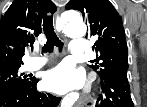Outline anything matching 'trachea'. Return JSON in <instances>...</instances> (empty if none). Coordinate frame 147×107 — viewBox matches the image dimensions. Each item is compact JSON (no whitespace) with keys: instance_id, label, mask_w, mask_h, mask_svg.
<instances>
[{"instance_id":"obj_1","label":"trachea","mask_w":147,"mask_h":107,"mask_svg":"<svg viewBox=\"0 0 147 107\" xmlns=\"http://www.w3.org/2000/svg\"><path fill=\"white\" fill-rule=\"evenodd\" d=\"M43 30L47 38V42L43 47V52L45 53L52 51L54 46L58 47L61 50L63 48V43L61 40H59L54 31L53 18L46 17L43 19Z\"/></svg>"}]
</instances>
